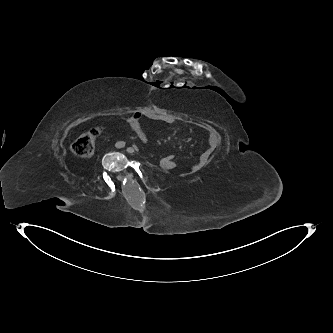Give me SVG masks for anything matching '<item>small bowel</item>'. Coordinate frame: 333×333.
<instances>
[{
	"label": "small bowel",
	"instance_id": "obj_1",
	"mask_svg": "<svg viewBox=\"0 0 333 333\" xmlns=\"http://www.w3.org/2000/svg\"><path fill=\"white\" fill-rule=\"evenodd\" d=\"M142 120H148V121H157V122H161L164 124H171L175 121L174 117L169 115V114H161V113H157L154 111H144V112H138L133 114L131 117H129L127 119V124L130 128L131 134L133 136L142 138V139H146L147 136L145 134V132L143 131L142 127H141V121ZM211 148H208L205 152H203L200 157L198 158V160L196 162H194L192 164V169L194 170H198L201 169L202 167H204L210 160L211 157ZM160 166L163 169L166 170H171L173 168L176 167V162L174 157L172 158L171 162H167L166 165H161Z\"/></svg>",
	"mask_w": 333,
	"mask_h": 333
}]
</instances>
